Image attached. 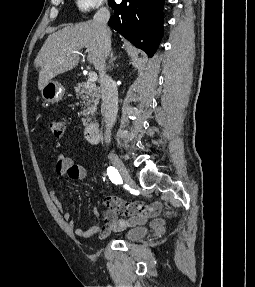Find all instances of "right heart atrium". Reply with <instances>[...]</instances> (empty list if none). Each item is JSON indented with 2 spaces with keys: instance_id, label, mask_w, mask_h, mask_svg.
Wrapping results in <instances>:
<instances>
[{
  "instance_id": "1",
  "label": "right heart atrium",
  "mask_w": 255,
  "mask_h": 287,
  "mask_svg": "<svg viewBox=\"0 0 255 287\" xmlns=\"http://www.w3.org/2000/svg\"><path fill=\"white\" fill-rule=\"evenodd\" d=\"M83 33H89V32H83ZM66 48H85V47H66Z\"/></svg>"
}]
</instances>
